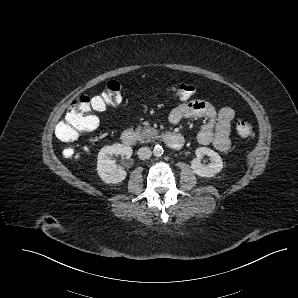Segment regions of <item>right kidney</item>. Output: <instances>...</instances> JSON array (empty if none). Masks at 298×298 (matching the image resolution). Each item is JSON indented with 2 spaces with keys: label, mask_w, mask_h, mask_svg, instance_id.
Returning a JSON list of instances; mask_svg holds the SVG:
<instances>
[{
  "label": "right kidney",
  "mask_w": 298,
  "mask_h": 298,
  "mask_svg": "<svg viewBox=\"0 0 298 298\" xmlns=\"http://www.w3.org/2000/svg\"><path fill=\"white\" fill-rule=\"evenodd\" d=\"M117 154L129 159L133 154V149L131 146L123 143H116L111 146H104L99 151L97 158V172L104 182L118 183L126 177L124 168L117 166L114 163V160L111 159L113 155Z\"/></svg>",
  "instance_id": "1"
}]
</instances>
